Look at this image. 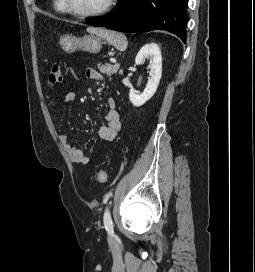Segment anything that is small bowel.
I'll return each mask as SVG.
<instances>
[{
    "label": "small bowel",
    "mask_w": 255,
    "mask_h": 272,
    "mask_svg": "<svg viewBox=\"0 0 255 272\" xmlns=\"http://www.w3.org/2000/svg\"><path fill=\"white\" fill-rule=\"evenodd\" d=\"M86 76L94 81L103 80V75L94 69H88L86 71ZM74 99V92H68L64 97V101L66 103H70L74 101ZM105 119L106 123L99 127L98 135L104 141H113L118 136L122 128L120 114L116 109V104L113 98H110L109 104L105 110ZM59 140L73 163L82 165L89 164V156L67 135L61 134L59 136Z\"/></svg>",
    "instance_id": "small-bowel-1"
}]
</instances>
